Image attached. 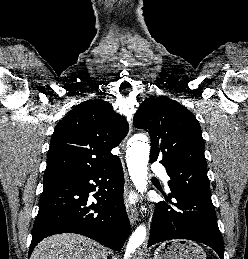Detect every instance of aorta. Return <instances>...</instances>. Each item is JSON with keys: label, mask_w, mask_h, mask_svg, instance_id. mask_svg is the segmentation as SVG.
<instances>
[{"label": "aorta", "mask_w": 248, "mask_h": 259, "mask_svg": "<svg viewBox=\"0 0 248 259\" xmlns=\"http://www.w3.org/2000/svg\"><path fill=\"white\" fill-rule=\"evenodd\" d=\"M150 146L146 142V137L139 135L130 141V145L126 151V162L130 178L141 194L147 190V164L149 161ZM142 210L145 208L142 207ZM145 235V229L140 226L137 228L133 242L127 252L128 259H139L136 253V248L142 241V236Z\"/></svg>", "instance_id": "aorta-1"}]
</instances>
